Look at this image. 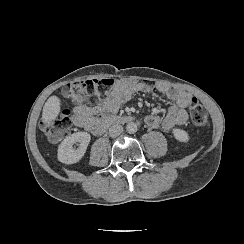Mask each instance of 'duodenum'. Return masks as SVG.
Instances as JSON below:
<instances>
[{
  "label": "duodenum",
  "mask_w": 244,
  "mask_h": 244,
  "mask_svg": "<svg viewBox=\"0 0 244 244\" xmlns=\"http://www.w3.org/2000/svg\"><path fill=\"white\" fill-rule=\"evenodd\" d=\"M136 117L131 116V117H110L106 121V125L102 128V130H106L108 125H114L118 123H124V122H130V121H135Z\"/></svg>",
  "instance_id": "duodenum-1"
}]
</instances>
